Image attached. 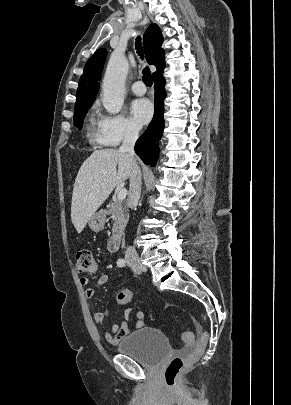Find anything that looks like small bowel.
<instances>
[{
	"mask_svg": "<svg viewBox=\"0 0 291 405\" xmlns=\"http://www.w3.org/2000/svg\"><path fill=\"white\" fill-rule=\"evenodd\" d=\"M108 281V275L102 274L98 277L96 282L92 287H89L90 281L86 277L80 278V284L84 287H87L85 290V297L87 299H92L95 295V289L103 286ZM132 310H125L124 317L125 320L120 324H112L111 331L106 329L105 323L109 317V312H96L92 316L94 325L103 332L105 340L111 344L116 345L121 339H123L130 331L129 327V318ZM144 325V313L139 311L136 313V323L135 328H141Z\"/></svg>",
	"mask_w": 291,
	"mask_h": 405,
	"instance_id": "c3829d8e",
	"label": "small bowel"
}]
</instances>
